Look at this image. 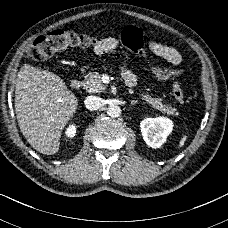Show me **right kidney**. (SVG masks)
I'll return each instance as SVG.
<instances>
[{"label":"right kidney","instance_id":"obj_1","mask_svg":"<svg viewBox=\"0 0 228 228\" xmlns=\"http://www.w3.org/2000/svg\"><path fill=\"white\" fill-rule=\"evenodd\" d=\"M74 135H75V127L69 126V128L67 130V136L68 137H73Z\"/></svg>","mask_w":228,"mask_h":228}]
</instances>
